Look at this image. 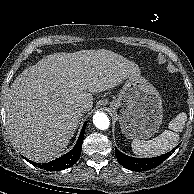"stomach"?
Segmentation results:
<instances>
[{
    "label": "stomach",
    "instance_id": "0dacf381",
    "mask_svg": "<svg viewBox=\"0 0 194 194\" xmlns=\"http://www.w3.org/2000/svg\"><path fill=\"white\" fill-rule=\"evenodd\" d=\"M110 108L119 120L122 133L129 139H149L162 124L161 96L140 73L126 78Z\"/></svg>",
    "mask_w": 194,
    "mask_h": 194
}]
</instances>
